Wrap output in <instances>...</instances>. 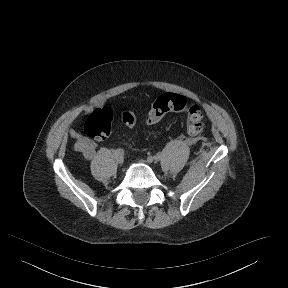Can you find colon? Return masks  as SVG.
Returning a JSON list of instances; mask_svg holds the SVG:
<instances>
[{
    "mask_svg": "<svg viewBox=\"0 0 288 288\" xmlns=\"http://www.w3.org/2000/svg\"><path fill=\"white\" fill-rule=\"evenodd\" d=\"M187 121L186 129L188 133L196 135L203 129V113L198 105L188 106L187 99L181 94L166 93L160 96L150 107L146 124L154 125L160 122L169 113L184 111ZM114 111L107 106L96 108L86 119L84 132L92 140L106 139L112 130V119ZM124 123L129 127H135L137 119L131 115H125Z\"/></svg>",
    "mask_w": 288,
    "mask_h": 288,
    "instance_id": "obj_1",
    "label": "colon"
}]
</instances>
